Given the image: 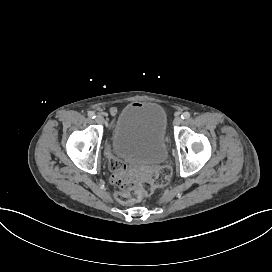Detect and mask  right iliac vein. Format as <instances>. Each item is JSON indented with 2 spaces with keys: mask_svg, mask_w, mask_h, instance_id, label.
<instances>
[{
  "mask_svg": "<svg viewBox=\"0 0 272 272\" xmlns=\"http://www.w3.org/2000/svg\"><path fill=\"white\" fill-rule=\"evenodd\" d=\"M96 122H97L98 124H104V123H105V120H104V118H103L102 116L98 115V116L96 117Z\"/></svg>",
  "mask_w": 272,
  "mask_h": 272,
  "instance_id": "1",
  "label": "right iliac vein"
}]
</instances>
